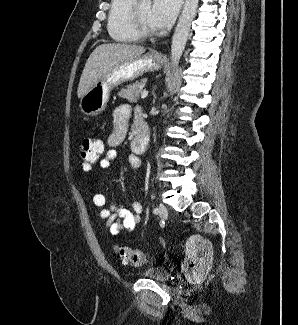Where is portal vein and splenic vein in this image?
<instances>
[{
	"label": "portal vein and splenic vein",
	"mask_w": 298,
	"mask_h": 325,
	"mask_svg": "<svg viewBox=\"0 0 298 325\" xmlns=\"http://www.w3.org/2000/svg\"><path fill=\"white\" fill-rule=\"evenodd\" d=\"M149 94V90H147V88H144V90H142L141 94H140V98H146V96H148Z\"/></svg>",
	"instance_id": "obj_1"
}]
</instances>
